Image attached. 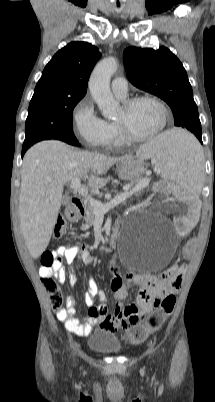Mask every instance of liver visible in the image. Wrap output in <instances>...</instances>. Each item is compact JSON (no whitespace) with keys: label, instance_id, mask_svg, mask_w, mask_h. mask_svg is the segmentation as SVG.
<instances>
[{"label":"liver","instance_id":"liver-1","mask_svg":"<svg viewBox=\"0 0 215 402\" xmlns=\"http://www.w3.org/2000/svg\"><path fill=\"white\" fill-rule=\"evenodd\" d=\"M124 157L74 150L57 141H42L25 154L21 169L19 216L30 255L38 258L47 248L61 207L63 186L83 178L92 189L106 185L100 177ZM91 172L88 177L87 173Z\"/></svg>","mask_w":215,"mask_h":402}]
</instances>
